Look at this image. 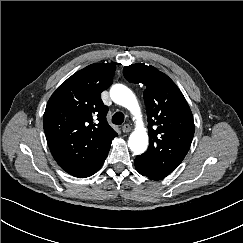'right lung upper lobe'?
<instances>
[{
	"label": "right lung upper lobe",
	"mask_w": 243,
	"mask_h": 243,
	"mask_svg": "<svg viewBox=\"0 0 243 243\" xmlns=\"http://www.w3.org/2000/svg\"><path fill=\"white\" fill-rule=\"evenodd\" d=\"M115 70L112 63L91 64L63 82L47 103L43 127L50 151L72 176L95 173L117 137L100 97L112 84Z\"/></svg>",
	"instance_id": "right-lung-upper-lobe-1"
}]
</instances>
